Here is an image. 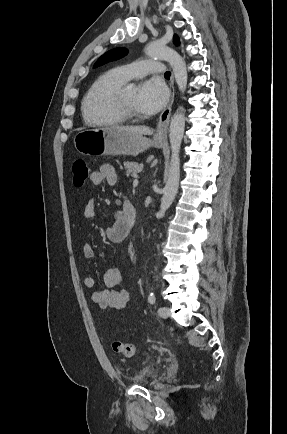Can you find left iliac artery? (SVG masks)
<instances>
[{"label": "left iliac artery", "mask_w": 287, "mask_h": 434, "mask_svg": "<svg viewBox=\"0 0 287 434\" xmlns=\"http://www.w3.org/2000/svg\"><path fill=\"white\" fill-rule=\"evenodd\" d=\"M155 301H156V297H155L154 293H150L149 296H148V302L150 304H154Z\"/></svg>", "instance_id": "obj_1"}]
</instances>
